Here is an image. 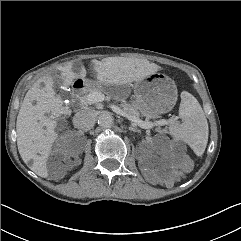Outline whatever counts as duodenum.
Instances as JSON below:
<instances>
[{
    "mask_svg": "<svg viewBox=\"0 0 241 241\" xmlns=\"http://www.w3.org/2000/svg\"><path fill=\"white\" fill-rule=\"evenodd\" d=\"M87 87L88 82L84 80L75 81L72 85V99L76 101Z\"/></svg>",
    "mask_w": 241,
    "mask_h": 241,
    "instance_id": "obj_1",
    "label": "duodenum"
}]
</instances>
